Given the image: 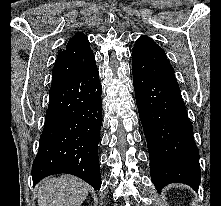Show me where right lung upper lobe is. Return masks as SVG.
Returning a JSON list of instances; mask_svg holds the SVG:
<instances>
[{"label":"right lung upper lobe","instance_id":"1","mask_svg":"<svg viewBox=\"0 0 221 206\" xmlns=\"http://www.w3.org/2000/svg\"><path fill=\"white\" fill-rule=\"evenodd\" d=\"M95 63V56L90 48L87 36L78 32L60 51L52 70L51 86L59 84L87 69Z\"/></svg>","mask_w":221,"mask_h":206}]
</instances>
